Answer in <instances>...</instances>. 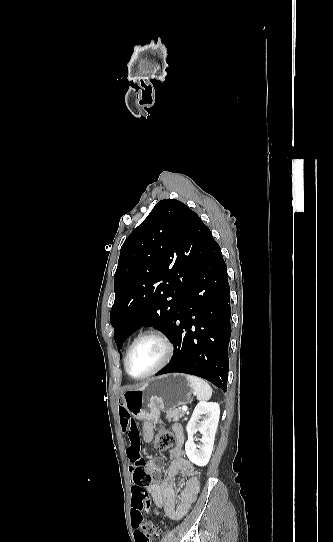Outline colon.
<instances>
[{
	"instance_id": "5ec220e1",
	"label": "colon",
	"mask_w": 333,
	"mask_h": 542,
	"mask_svg": "<svg viewBox=\"0 0 333 542\" xmlns=\"http://www.w3.org/2000/svg\"><path fill=\"white\" fill-rule=\"evenodd\" d=\"M176 436L170 430L161 428L155 433V447L157 450H165L173 447ZM128 465L133 469L134 480L131 490L134 494L132 513L130 521L134 525H141V531L137 533L139 542H148L156 532V525L151 519L144 515L151 506L145 502L146 494L149 492V485L154 482L153 475L146 470L145 462L142 458H130ZM154 512L157 513L156 508Z\"/></svg>"
}]
</instances>
